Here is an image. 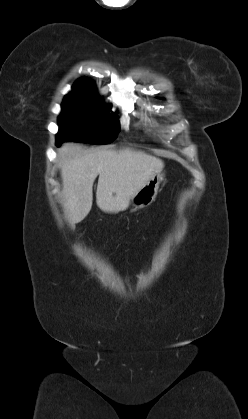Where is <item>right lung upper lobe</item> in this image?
Returning a JSON list of instances; mask_svg holds the SVG:
<instances>
[{
    "label": "right lung upper lobe",
    "instance_id": "1",
    "mask_svg": "<svg viewBox=\"0 0 248 419\" xmlns=\"http://www.w3.org/2000/svg\"><path fill=\"white\" fill-rule=\"evenodd\" d=\"M67 96L81 97L102 102L101 98L96 95L94 83L85 78L77 80L73 85V90Z\"/></svg>",
    "mask_w": 248,
    "mask_h": 419
}]
</instances>
